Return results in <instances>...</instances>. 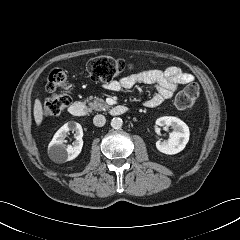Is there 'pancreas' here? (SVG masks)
<instances>
[{
    "label": "pancreas",
    "instance_id": "cf45deb5",
    "mask_svg": "<svg viewBox=\"0 0 240 240\" xmlns=\"http://www.w3.org/2000/svg\"><path fill=\"white\" fill-rule=\"evenodd\" d=\"M92 99L93 97L90 96L89 98H87V102H89ZM88 105L91 110L96 111H101L109 108V105H107L103 99L98 97L94 98V100L92 102H89Z\"/></svg>",
    "mask_w": 240,
    "mask_h": 240
}]
</instances>
